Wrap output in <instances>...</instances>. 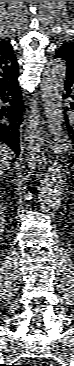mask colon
<instances>
[{
  "instance_id": "5ec220e1",
  "label": "colon",
  "mask_w": 74,
  "mask_h": 366,
  "mask_svg": "<svg viewBox=\"0 0 74 366\" xmlns=\"http://www.w3.org/2000/svg\"><path fill=\"white\" fill-rule=\"evenodd\" d=\"M27 366H35V365L31 364V365H27ZM39 366H45V365H39Z\"/></svg>"
}]
</instances>
